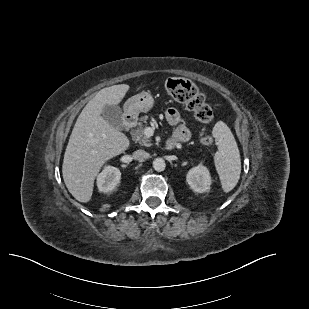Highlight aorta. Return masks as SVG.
I'll return each mask as SVG.
<instances>
[{"instance_id":"762f6f07","label":"aorta","mask_w":309,"mask_h":309,"mask_svg":"<svg viewBox=\"0 0 309 309\" xmlns=\"http://www.w3.org/2000/svg\"><path fill=\"white\" fill-rule=\"evenodd\" d=\"M166 167V163L162 158H156L153 161V168L157 171V172H161L164 171Z\"/></svg>"}]
</instances>
